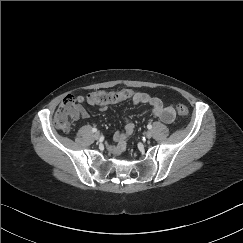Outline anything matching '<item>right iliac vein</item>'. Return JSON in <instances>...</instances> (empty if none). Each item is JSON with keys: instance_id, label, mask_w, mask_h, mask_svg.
Instances as JSON below:
<instances>
[{"instance_id": "63e3f726", "label": "right iliac vein", "mask_w": 243, "mask_h": 243, "mask_svg": "<svg viewBox=\"0 0 243 243\" xmlns=\"http://www.w3.org/2000/svg\"><path fill=\"white\" fill-rule=\"evenodd\" d=\"M99 138H100V134H99V133H95V134H94V139H95V140H98Z\"/></svg>"}]
</instances>
